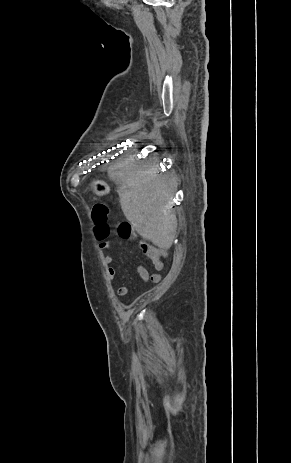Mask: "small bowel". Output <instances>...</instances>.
I'll return each mask as SVG.
<instances>
[{"label": "small bowel", "mask_w": 291, "mask_h": 463, "mask_svg": "<svg viewBox=\"0 0 291 463\" xmlns=\"http://www.w3.org/2000/svg\"><path fill=\"white\" fill-rule=\"evenodd\" d=\"M131 239L135 241V240H137V236L134 235L133 238H131ZM100 247L102 249H104V250H108L109 249V244H108V242H106L105 245H103V246L100 245ZM140 247H141L143 253L145 254V256L151 260V262H152V264L154 266L155 272L150 275V273H149L148 269L146 268V266L140 264L137 267V274H138L139 278L144 283H148V282L157 283V282H159L161 280L160 271L163 269V261L156 254L154 248L152 246H150L149 244H147L145 242H140ZM114 262H115V259L112 256L106 255L104 257V263L107 265L106 273H107L108 278H110V279L116 278V276L118 274L117 269L113 266ZM129 293H130V288L127 287V286H121V287H119L117 289V294L120 297H125Z\"/></svg>", "instance_id": "small-bowel-1"}]
</instances>
